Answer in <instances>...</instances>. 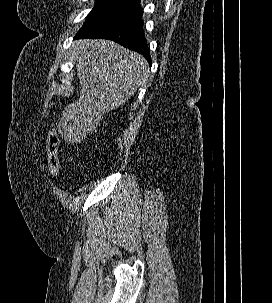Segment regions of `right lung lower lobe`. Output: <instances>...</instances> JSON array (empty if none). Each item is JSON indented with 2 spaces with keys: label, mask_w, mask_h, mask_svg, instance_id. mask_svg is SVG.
Wrapping results in <instances>:
<instances>
[{
  "label": "right lung lower lobe",
  "mask_w": 272,
  "mask_h": 303,
  "mask_svg": "<svg viewBox=\"0 0 272 303\" xmlns=\"http://www.w3.org/2000/svg\"><path fill=\"white\" fill-rule=\"evenodd\" d=\"M81 38L113 40L126 48L144 55L149 64H152L143 32L142 11L119 21L104 24L91 31L77 33L75 39Z\"/></svg>",
  "instance_id": "98d812e1"
}]
</instances>
